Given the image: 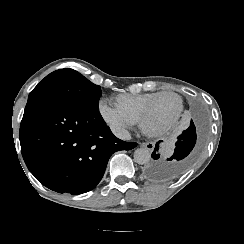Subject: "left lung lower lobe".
Instances as JSON below:
<instances>
[{"mask_svg":"<svg viewBox=\"0 0 244 244\" xmlns=\"http://www.w3.org/2000/svg\"><path fill=\"white\" fill-rule=\"evenodd\" d=\"M196 144V128L191 120L190 126L178 136L175 144V150L171 157L167 159H159L156 153L158 146L155 147L152 158L144 168V174L152 180H169L180 175L192 162V150ZM159 159V160H158Z\"/></svg>","mask_w":244,"mask_h":244,"instance_id":"0a47b994","label":"left lung lower lobe"}]
</instances>
